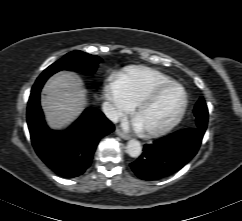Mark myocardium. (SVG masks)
I'll list each match as a JSON object with an SVG mask.
<instances>
[{
    "label": "myocardium",
    "mask_w": 242,
    "mask_h": 221,
    "mask_svg": "<svg viewBox=\"0 0 242 221\" xmlns=\"http://www.w3.org/2000/svg\"><path fill=\"white\" fill-rule=\"evenodd\" d=\"M172 88H178L181 90L183 94V100L182 104L178 110V112L175 114V116L167 122L165 125L155 128V129H148V130H143V133L147 136H159L162 134H165L169 132L171 129H173L183 118L187 106H188V94L185 90V88L178 82H171L167 83L161 86H158L155 88L152 92H150L146 97H144L139 103L135 105V108L133 110V115L134 117L147 107L151 106L153 103L156 102V100L167 90L172 89Z\"/></svg>",
    "instance_id": "1"
}]
</instances>
